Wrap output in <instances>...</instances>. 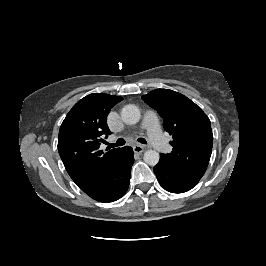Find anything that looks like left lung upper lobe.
Returning a JSON list of instances; mask_svg holds the SVG:
<instances>
[{"label":"left lung upper lobe","instance_id":"5c2ea615","mask_svg":"<svg viewBox=\"0 0 266 266\" xmlns=\"http://www.w3.org/2000/svg\"><path fill=\"white\" fill-rule=\"evenodd\" d=\"M142 100L164 119V129L173 136V150L161 154L171 167L183 172L205 173L213 144L210 120L186 96L169 89H156Z\"/></svg>","mask_w":266,"mask_h":266}]
</instances>
